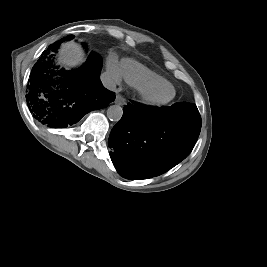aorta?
Here are the masks:
<instances>
[{
	"label": "aorta",
	"mask_w": 267,
	"mask_h": 267,
	"mask_svg": "<svg viewBox=\"0 0 267 267\" xmlns=\"http://www.w3.org/2000/svg\"><path fill=\"white\" fill-rule=\"evenodd\" d=\"M123 109L120 105H111L107 109V117L111 121H119L122 118Z\"/></svg>",
	"instance_id": "aorta-1"
}]
</instances>
